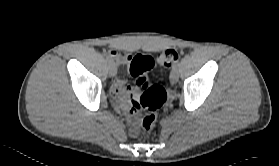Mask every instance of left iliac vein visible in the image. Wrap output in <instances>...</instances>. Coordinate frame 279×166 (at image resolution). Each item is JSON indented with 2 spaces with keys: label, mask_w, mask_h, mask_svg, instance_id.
I'll return each instance as SVG.
<instances>
[{
  "label": "left iliac vein",
  "mask_w": 279,
  "mask_h": 166,
  "mask_svg": "<svg viewBox=\"0 0 279 166\" xmlns=\"http://www.w3.org/2000/svg\"><path fill=\"white\" fill-rule=\"evenodd\" d=\"M178 78H179V72H178V69L177 67L176 68H173L171 73H170V81L171 83H176L178 81Z\"/></svg>",
  "instance_id": "left-iliac-vein-1"
}]
</instances>
